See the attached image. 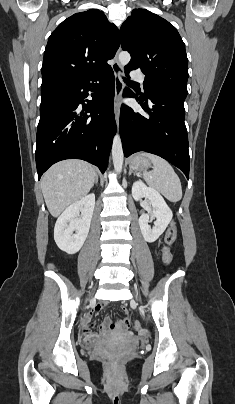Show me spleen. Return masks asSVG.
I'll return each instance as SVG.
<instances>
[{
    "label": "spleen",
    "instance_id": "spleen-1",
    "mask_svg": "<svg viewBox=\"0 0 235 404\" xmlns=\"http://www.w3.org/2000/svg\"><path fill=\"white\" fill-rule=\"evenodd\" d=\"M141 155L151 160L154 165L151 172L143 174L148 185L162 193L169 201H180L182 198L181 182L172 166L157 155L146 152Z\"/></svg>",
    "mask_w": 235,
    "mask_h": 404
}]
</instances>
